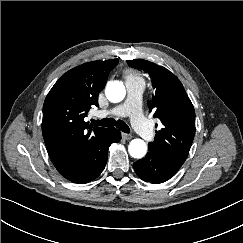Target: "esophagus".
Masks as SVG:
<instances>
[{"instance_id": "34e87169", "label": "esophagus", "mask_w": 243, "mask_h": 243, "mask_svg": "<svg viewBox=\"0 0 243 243\" xmlns=\"http://www.w3.org/2000/svg\"><path fill=\"white\" fill-rule=\"evenodd\" d=\"M122 138L125 140H130L132 138V135L127 133H122Z\"/></svg>"}]
</instances>
